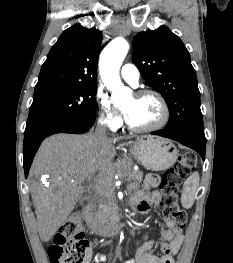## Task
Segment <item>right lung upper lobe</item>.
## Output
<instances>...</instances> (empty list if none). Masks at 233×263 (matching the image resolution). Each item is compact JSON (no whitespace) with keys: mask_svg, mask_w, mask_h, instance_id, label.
I'll list each match as a JSON object with an SVG mask.
<instances>
[{"mask_svg":"<svg viewBox=\"0 0 233 263\" xmlns=\"http://www.w3.org/2000/svg\"><path fill=\"white\" fill-rule=\"evenodd\" d=\"M102 34L75 24L65 30L42 65L34 95L79 85H97Z\"/></svg>","mask_w":233,"mask_h":263,"instance_id":"right-lung-upper-lobe-1","label":"right lung upper lobe"}]
</instances>
